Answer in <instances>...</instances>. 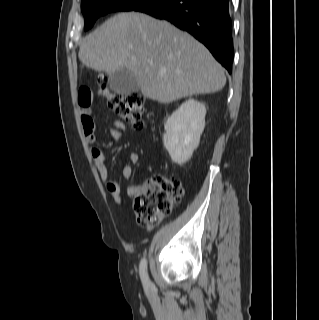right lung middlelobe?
Returning <instances> with one entry per match:
<instances>
[{"label":"right lung middle lobe","mask_w":319,"mask_h":320,"mask_svg":"<svg viewBox=\"0 0 319 320\" xmlns=\"http://www.w3.org/2000/svg\"><path fill=\"white\" fill-rule=\"evenodd\" d=\"M155 1L157 0H82L84 30L90 29L99 16L115 11H137L140 7Z\"/></svg>","instance_id":"right-lung-middle-lobe-1"}]
</instances>
